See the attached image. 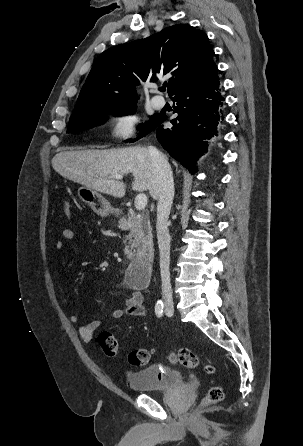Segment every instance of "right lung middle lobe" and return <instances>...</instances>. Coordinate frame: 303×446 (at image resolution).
<instances>
[{"label": "right lung middle lobe", "instance_id": "1", "mask_svg": "<svg viewBox=\"0 0 303 446\" xmlns=\"http://www.w3.org/2000/svg\"><path fill=\"white\" fill-rule=\"evenodd\" d=\"M135 103L136 102L123 106L107 105L83 114L71 116L67 132L77 134L96 125L103 124L107 120V114H114L116 116L133 114L136 110ZM159 118L160 114H154L150 117L149 122L140 124L139 128L142 131L140 137H143L152 131L155 128Z\"/></svg>", "mask_w": 303, "mask_h": 446}]
</instances>
